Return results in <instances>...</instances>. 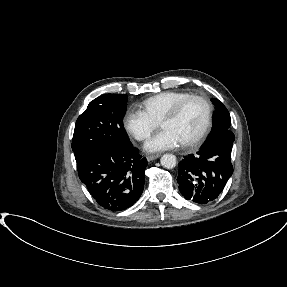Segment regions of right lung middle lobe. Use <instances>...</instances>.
Returning <instances> with one entry per match:
<instances>
[{
	"mask_svg": "<svg viewBox=\"0 0 287 287\" xmlns=\"http://www.w3.org/2000/svg\"><path fill=\"white\" fill-rule=\"evenodd\" d=\"M127 99L126 95L104 94L88 104L75 124L72 140L75 159L97 146L132 145L123 126Z\"/></svg>",
	"mask_w": 287,
	"mask_h": 287,
	"instance_id": "1",
	"label": "right lung middle lobe"
}]
</instances>
